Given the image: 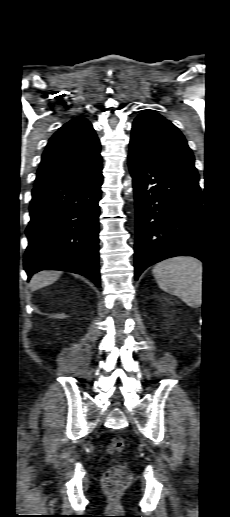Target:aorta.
I'll return each mask as SVG.
<instances>
[{"mask_svg": "<svg viewBox=\"0 0 230 517\" xmlns=\"http://www.w3.org/2000/svg\"><path fill=\"white\" fill-rule=\"evenodd\" d=\"M125 185L128 186V185H131V179L129 178L128 180L125 181ZM132 191L131 188H129L127 191H126V194L130 193Z\"/></svg>", "mask_w": 230, "mask_h": 517, "instance_id": "1", "label": "aorta"}]
</instances>
